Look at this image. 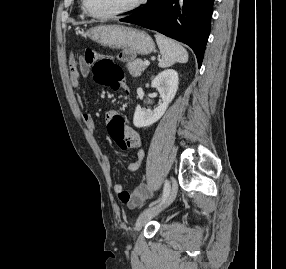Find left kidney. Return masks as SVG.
Masks as SVG:
<instances>
[{
	"label": "left kidney",
	"mask_w": 286,
	"mask_h": 269,
	"mask_svg": "<svg viewBox=\"0 0 286 269\" xmlns=\"http://www.w3.org/2000/svg\"><path fill=\"white\" fill-rule=\"evenodd\" d=\"M178 84L179 77L177 71L168 69L159 73L152 80L151 86L158 90L162 98V103L153 110H144L140 106H137L133 117L134 126L138 128L147 127L157 122L174 99L178 90Z\"/></svg>",
	"instance_id": "1"
}]
</instances>
